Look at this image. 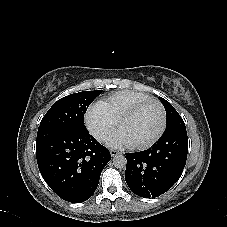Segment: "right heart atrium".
Returning a JSON list of instances; mask_svg holds the SVG:
<instances>
[{"instance_id": "right-heart-atrium-1", "label": "right heart atrium", "mask_w": 227, "mask_h": 227, "mask_svg": "<svg viewBox=\"0 0 227 227\" xmlns=\"http://www.w3.org/2000/svg\"><path fill=\"white\" fill-rule=\"evenodd\" d=\"M84 124L99 143L108 142L116 128V123L105 113L99 102L88 108L84 115Z\"/></svg>"}]
</instances>
